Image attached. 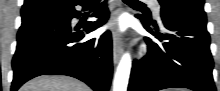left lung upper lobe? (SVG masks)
I'll return each mask as SVG.
<instances>
[{"label":"left lung upper lobe","instance_id":"obj_1","mask_svg":"<svg viewBox=\"0 0 220 91\" xmlns=\"http://www.w3.org/2000/svg\"><path fill=\"white\" fill-rule=\"evenodd\" d=\"M161 15L166 11L206 21L204 0H159Z\"/></svg>","mask_w":220,"mask_h":91}]
</instances>
